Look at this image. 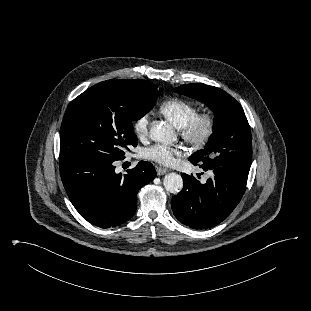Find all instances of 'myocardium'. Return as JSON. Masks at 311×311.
Returning a JSON list of instances; mask_svg holds the SVG:
<instances>
[{
    "instance_id": "f54148a6",
    "label": "myocardium",
    "mask_w": 311,
    "mask_h": 311,
    "mask_svg": "<svg viewBox=\"0 0 311 311\" xmlns=\"http://www.w3.org/2000/svg\"><path fill=\"white\" fill-rule=\"evenodd\" d=\"M216 128V115L212 111L195 114L181 129V138L193 147H203L212 138Z\"/></svg>"
}]
</instances>
